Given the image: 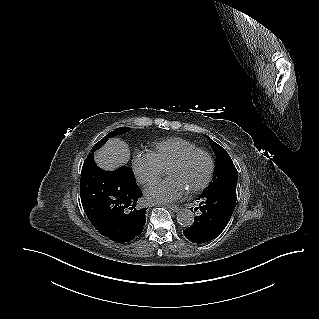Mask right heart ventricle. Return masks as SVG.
<instances>
[{
	"instance_id": "e07e8e85",
	"label": "right heart ventricle",
	"mask_w": 319,
	"mask_h": 319,
	"mask_svg": "<svg viewBox=\"0 0 319 319\" xmlns=\"http://www.w3.org/2000/svg\"><path fill=\"white\" fill-rule=\"evenodd\" d=\"M197 148L193 142L185 138L172 137L154 143L150 153L156 162L163 169H166L173 161L178 159L181 154Z\"/></svg>"
}]
</instances>
